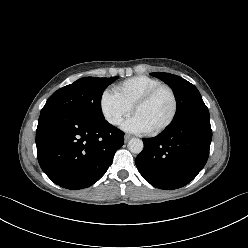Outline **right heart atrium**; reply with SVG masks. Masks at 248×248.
<instances>
[{"mask_svg": "<svg viewBox=\"0 0 248 248\" xmlns=\"http://www.w3.org/2000/svg\"><path fill=\"white\" fill-rule=\"evenodd\" d=\"M99 104L103 117L113 126H118L132 110L115 92L108 89L102 92Z\"/></svg>", "mask_w": 248, "mask_h": 248, "instance_id": "d8ad5b80", "label": "right heart atrium"}]
</instances>
